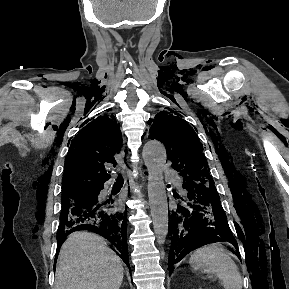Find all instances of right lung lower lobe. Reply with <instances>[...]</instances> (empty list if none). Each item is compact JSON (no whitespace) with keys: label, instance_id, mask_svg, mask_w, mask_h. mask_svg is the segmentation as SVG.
I'll return each instance as SVG.
<instances>
[{"label":"right lung lower lobe","instance_id":"1","mask_svg":"<svg viewBox=\"0 0 289 289\" xmlns=\"http://www.w3.org/2000/svg\"><path fill=\"white\" fill-rule=\"evenodd\" d=\"M103 186L94 191L95 198L69 215L62 216L57 230V250L72 232L87 230L102 235L114 245V251L129 267L127 246V210L115 211V207L98 199ZM113 203V201H111ZM56 255V260L57 256Z\"/></svg>","mask_w":289,"mask_h":289}]
</instances>
